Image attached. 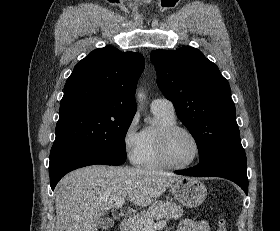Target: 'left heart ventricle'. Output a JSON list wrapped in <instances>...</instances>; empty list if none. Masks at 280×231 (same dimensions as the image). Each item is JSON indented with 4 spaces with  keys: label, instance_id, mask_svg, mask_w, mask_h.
Returning a JSON list of instances; mask_svg holds the SVG:
<instances>
[{
    "label": "left heart ventricle",
    "instance_id": "1",
    "mask_svg": "<svg viewBox=\"0 0 280 231\" xmlns=\"http://www.w3.org/2000/svg\"><path fill=\"white\" fill-rule=\"evenodd\" d=\"M168 152L174 163L184 165L195 159L197 146L189 134L177 132L169 140Z\"/></svg>",
    "mask_w": 280,
    "mask_h": 231
}]
</instances>
